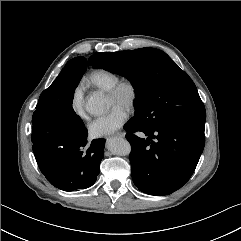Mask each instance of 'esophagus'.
I'll return each mask as SVG.
<instances>
[{
    "mask_svg": "<svg viewBox=\"0 0 241 241\" xmlns=\"http://www.w3.org/2000/svg\"><path fill=\"white\" fill-rule=\"evenodd\" d=\"M114 136H117V137H124V134L122 132H118L116 134H114Z\"/></svg>",
    "mask_w": 241,
    "mask_h": 241,
    "instance_id": "1",
    "label": "esophagus"
}]
</instances>
